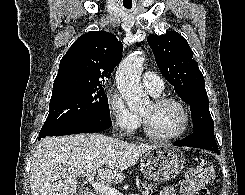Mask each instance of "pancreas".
<instances>
[{
	"label": "pancreas",
	"instance_id": "1",
	"mask_svg": "<svg viewBox=\"0 0 245 195\" xmlns=\"http://www.w3.org/2000/svg\"><path fill=\"white\" fill-rule=\"evenodd\" d=\"M142 185L147 195L155 189V184L152 183L143 182Z\"/></svg>",
	"mask_w": 245,
	"mask_h": 195
}]
</instances>
